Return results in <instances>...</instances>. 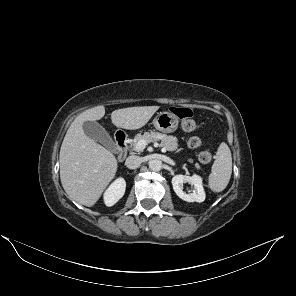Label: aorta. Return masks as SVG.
<instances>
[{
    "instance_id": "obj_1",
    "label": "aorta",
    "mask_w": 296,
    "mask_h": 296,
    "mask_svg": "<svg viewBox=\"0 0 296 296\" xmlns=\"http://www.w3.org/2000/svg\"><path fill=\"white\" fill-rule=\"evenodd\" d=\"M149 168L152 170V171H160L162 169V161L161 160H158V159H155V160H151L149 162Z\"/></svg>"
}]
</instances>
